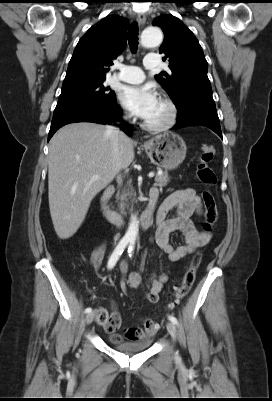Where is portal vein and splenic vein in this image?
<instances>
[{"mask_svg":"<svg viewBox=\"0 0 272 401\" xmlns=\"http://www.w3.org/2000/svg\"><path fill=\"white\" fill-rule=\"evenodd\" d=\"M98 177H99V176H97V175L94 176V178H96V179H97ZM148 177H149V178H153V177H154V173H153V172H150V173L148 174Z\"/></svg>","mask_w":272,"mask_h":401,"instance_id":"obj_1","label":"portal vein and splenic vein"}]
</instances>
